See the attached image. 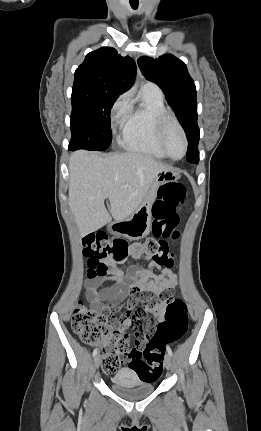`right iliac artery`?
I'll use <instances>...</instances> for the list:
<instances>
[{
  "instance_id": "82829eb1",
  "label": "right iliac artery",
  "mask_w": 261,
  "mask_h": 431,
  "mask_svg": "<svg viewBox=\"0 0 261 431\" xmlns=\"http://www.w3.org/2000/svg\"><path fill=\"white\" fill-rule=\"evenodd\" d=\"M97 352H98V349L96 348V349H94V351H93V357H95L96 355H97Z\"/></svg>"
}]
</instances>
